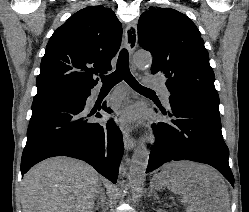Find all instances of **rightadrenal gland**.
Masks as SVG:
<instances>
[{
	"label": "right adrenal gland",
	"mask_w": 249,
	"mask_h": 212,
	"mask_svg": "<svg viewBox=\"0 0 249 212\" xmlns=\"http://www.w3.org/2000/svg\"><path fill=\"white\" fill-rule=\"evenodd\" d=\"M98 192H99V194L97 196L98 202H97V206H96V208H94L93 212H96V210H99V208H102V206H104L105 196H104L103 188H100V186H99Z\"/></svg>",
	"instance_id": "obj_1"
}]
</instances>
